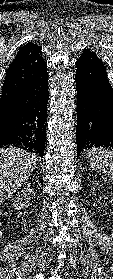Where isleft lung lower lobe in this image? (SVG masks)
Instances as JSON below:
<instances>
[{
  "mask_svg": "<svg viewBox=\"0 0 113 279\" xmlns=\"http://www.w3.org/2000/svg\"><path fill=\"white\" fill-rule=\"evenodd\" d=\"M77 156L85 149H113V88L101 59L90 50L76 61Z\"/></svg>",
  "mask_w": 113,
  "mask_h": 279,
  "instance_id": "1",
  "label": "left lung lower lobe"
}]
</instances>
